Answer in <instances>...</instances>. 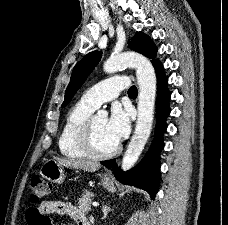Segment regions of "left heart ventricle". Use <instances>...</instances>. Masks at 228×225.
I'll return each mask as SVG.
<instances>
[{"label": "left heart ventricle", "mask_w": 228, "mask_h": 225, "mask_svg": "<svg viewBox=\"0 0 228 225\" xmlns=\"http://www.w3.org/2000/svg\"><path fill=\"white\" fill-rule=\"evenodd\" d=\"M107 119L105 117L94 116L93 132L96 144L99 148L106 150L115 146L117 143L112 140L106 130Z\"/></svg>", "instance_id": "obj_1"}]
</instances>
